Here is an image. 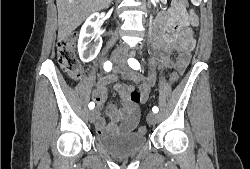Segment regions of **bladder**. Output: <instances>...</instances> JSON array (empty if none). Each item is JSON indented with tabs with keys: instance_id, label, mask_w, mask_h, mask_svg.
Here are the masks:
<instances>
[{
	"instance_id": "1",
	"label": "bladder",
	"mask_w": 250,
	"mask_h": 169,
	"mask_svg": "<svg viewBox=\"0 0 250 169\" xmlns=\"http://www.w3.org/2000/svg\"><path fill=\"white\" fill-rule=\"evenodd\" d=\"M94 142L113 157L127 158L136 155L147 144L146 134L104 133L94 135Z\"/></svg>"
}]
</instances>
